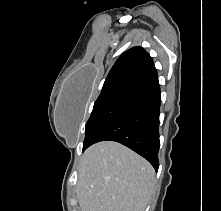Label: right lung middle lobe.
Segmentation results:
<instances>
[{
	"mask_svg": "<svg viewBox=\"0 0 221 211\" xmlns=\"http://www.w3.org/2000/svg\"><path fill=\"white\" fill-rule=\"evenodd\" d=\"M135 92L136 90L133 89H116L99 95L94 104L92 114L86 123L83 146L87 145L96 137Z\"/></svg>",
	"mask_w": 221,
	"mask_h": 211,
	"instance_id": "right-lung-middle-lobe-1",
	"label": "right lung middle lobe"
}]
</instances>
